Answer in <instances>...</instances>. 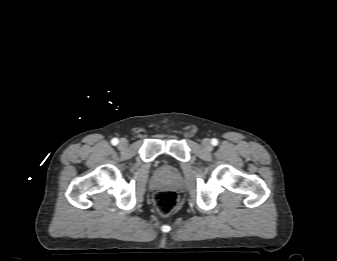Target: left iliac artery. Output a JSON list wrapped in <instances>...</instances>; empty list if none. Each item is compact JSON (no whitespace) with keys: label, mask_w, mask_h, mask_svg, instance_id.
<instances>
[{"label":"left iliac artery","mask_w":337,"mask_h":261,"mask_svg":"<svg viewBox=\"0 0 337 261\" xmlns=\"http://www.w3.org/2000/svg\"><path fill=\"white\" fill-rule=\"evenodd\" d=\"M211 144L214 145V146H216V145L218 144V140L215 139V138H213V139L211 140Z\"/></svg>","instance_id":"1"}]
</instances>
